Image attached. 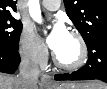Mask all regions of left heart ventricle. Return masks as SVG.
I'll return each mask as SVG.
<instances>
[{
    "label": "left heart ventricle",
    "mask_w": 107,
    "mask_h": 89,
    "mask_svg": "<svg viewBox=\"0 0 107 89\" xmlns=\"http://www.w3.org/2000/svg\"><path fill=\"white\" fill-rule=\"evenodd\" d=\"M57 57L65 63H72L79 57V46L76 40L69 35L61 48L55 52Z\"/></svg>",
    "instance_id": "obj_1"
}]
</instances>
